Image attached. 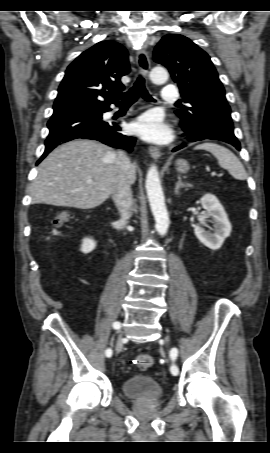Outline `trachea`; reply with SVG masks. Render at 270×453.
<instances>
[{
	"label": "trachea",
	"mask_w": 270,
	"mask_h": 453,
	"mask_svg": "<svg viewBox=\"0 0 270 453\" xmlns=\"http://www.w3.org/2000/svg\"><path fill=\"white\" fill-rule=\"evenodd\" d=\"M142 96L147 101H155L148 93L145 87V80L142 76H138L134 85L123 94L122 105H131L136 102L138 96Z\"/></svg>",
	"instance_id": "3493384b"
}]
</instances>
